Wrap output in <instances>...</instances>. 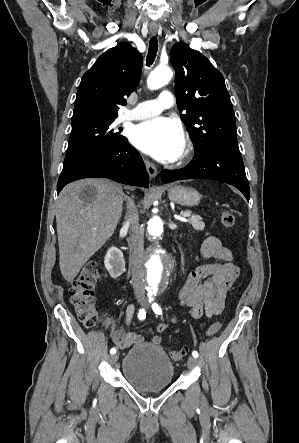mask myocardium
I'll use <instances>...</instances> for the list:
<instances>
[{"mask_svg": "<svg viewBox=\"0 0 299 443\" xmlns=\"http://www.w3.org/2000/svg\"><path fill=\"white\" fill-rule=\"evenodd\" d=\"M191 152H192V144L190 141L187 140L184 144L183 151L179 156L178 162L179 163L185 162L190 157Z\"/></svg>", "mask_w": 299, "mask_h": 443, "instance_id": "1", "label": "myocardium"}]
</instances>
